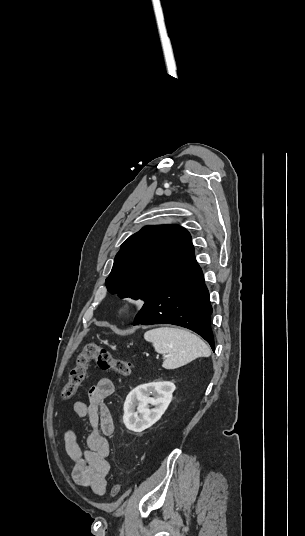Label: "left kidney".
<instances>
[{"instance_id": "left-kidney-1", "label": "left kidney", "mask_w": 305, "mask_h": 536, "mask_svg": "<svg viewBox=\"0 0 305 536\" xmlns=\"http://www.w3.org/2000/svg\"><path fill=\"white\" fill-rule=\"evenodd\" d=\"M174 390L175 384L172 382H150L134 388L124 404L123 422L126 428L132 432H143L153 426L167 410ZM148 404L155 408L150 410Z\"/></svg>"}]
</instances>
